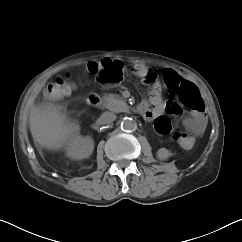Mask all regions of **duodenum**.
Returning a JSON list of instances; mask_svg holds the SVG:
<instances>
[{"instance_id":"obj_1","label":"duodenum","mask_w":242,"mask_h":242,"mask_svg":"<svg viewBox=\"0 0 242 242\" xmlns=\"http://www.w3.org/2000/svg\"><path fill=\"white\" fill-rule=\"evenodd\" d=\"M87 102L92 107H99L102 104V98L98 93H90L87 96ZM146 104H141L137 107V111L143 114L148 106Z\"/></svg>"}]
</instances>
